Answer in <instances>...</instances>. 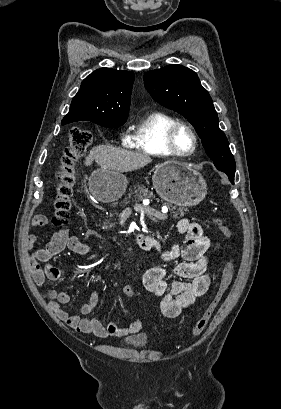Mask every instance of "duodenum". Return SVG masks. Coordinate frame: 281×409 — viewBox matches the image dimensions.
Returning <instances> with one entry per match:
<instances>
[{"instance_id": "410a0bca", "label": "duodenum", "mask_w": 281, "mask_h": 409, "mask_svg": "<svg viewBox=\"0 0 281 409\" xmlns=\"http://www.w3.org/2000/svg\"><path fill=\"white\" fill-rule=\"evenodd\" d=\"M136 241L142 249L146 251H150L152 249L151 237L139 234L136 236Z\"/></svg>"}]
</instances>
